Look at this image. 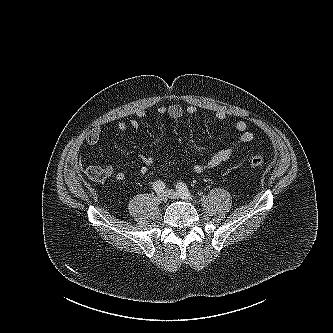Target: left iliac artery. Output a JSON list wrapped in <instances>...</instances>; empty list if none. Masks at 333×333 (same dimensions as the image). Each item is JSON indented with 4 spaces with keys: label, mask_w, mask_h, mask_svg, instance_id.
I'll return each instance as SVG.
<instances>
[{
    "label": "left iliac artery",
    "mask_w": 333,
    "mask_h": 333,
    "mask_svg": "<svg viewBox=\"0 0 333 333\" xmlns=\"http://www.w3.org/2000/svg\"><path fill=\"white\" fill-rule=\"evenodd\" d=\"M176 189H177V192H178L182 197L189 198V199H193V198H195L194 195H191V193H190V191H189V189H188V187L186 186L185 183H182V182L178 183V184L176 185Z\"/></svg>",
    "instance_id": "44dca946"
}]
</instances>
